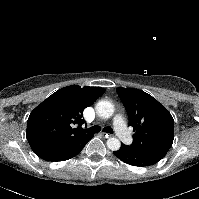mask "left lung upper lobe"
<instances>
[{"label": "left lung upper lobe", "mask_w": 199, "mask_h": 199, "mask_svg": "<svg viewBox=\"0 0 199 199\" xmlns=\"http://www.w3.org/2000/svg\"><path fill=\"white\" fill-rule=\"evenodd\" d=\"M133 127L132 148L162 159L174 140V120L168 110L144 91L117 88Z\"/></svg>", "instance_id": "5c2ea615"}]
</instances>
